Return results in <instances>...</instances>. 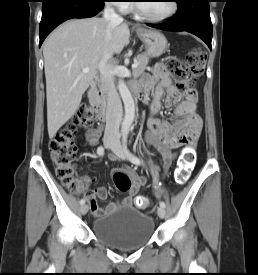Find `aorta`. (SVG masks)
<instances>
[{
  "mask_svg": "<svg viewBox=\"0 0 258 275\" xmlns=\"http://www.w3.org/2000/svg\"><path fill=\"white\" fill-rule=\"evenodd\" d=\"M118 90L122 97L123 103H124V109H125V117L122 123V131L128 132L135 116V104L134 100L131 96V93L126 86L123 78H120L118 81Z\"/></svg>",
  "mask_w": 258,
  "mask_h": 275,
  "instance_id": "1",
  "label": "aorta"
}]
</instances>
